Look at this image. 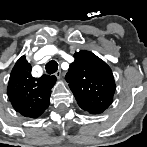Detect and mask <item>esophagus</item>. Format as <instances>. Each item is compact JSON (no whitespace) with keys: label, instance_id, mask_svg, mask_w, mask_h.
Returning a JSON list of instances; mask_svg holds the SVG:
<instances>
[{"label":"esophagus","instance_id":"obj_1","mask_svg":"<svg viewBox=\"0 0 147 147\" xmlns=\"http://www.w3.org/2000/svg\"><path fill=\"white\" fill-rule=\"evenodd\" d=\"M61 70H58L56 73H55V76L59 79L61 77Z\"/></svg>","mask_w":147,"mask_h":147}]
</instances>
